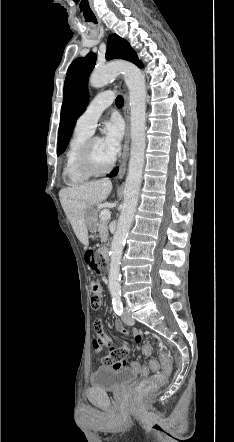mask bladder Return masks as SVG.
<instances>
[{"label":"bladder","instance_id":"1","mask_svg":"<svg viewBox=\"0 0 234 442\" xmlns=\"http://www.w3.org/2000/svg\"><path fill=\"white\" fill-rule=\"evenodd\" d=\"M137 372L131 367L100 366L90 376V384L102 390H118L131 383Z\"/></svg>","mask_w":234,"mask_h":442}]
</instances>
